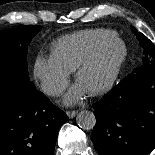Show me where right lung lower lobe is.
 Returning <instances> with one entry per match:
<instances>
[{
    "mask_svg": "<svg viewBox=\"0 0 155 155\" xmlns=\"http://www.w3.org/2000/svg\"><path fill=\"white\" fill-rule=\"evenodd\" d=\"M67 115L36 88L28 99L0 93V155H52Z\"/></svg>",
    "mask_w": 155,
    "mask_h": 155,
    "instance_id": "98d812e1",
    "label": "right lung lower lobe"
}]
</instances>
